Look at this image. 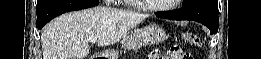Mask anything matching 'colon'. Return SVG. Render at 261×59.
I'll use <instances>...</instances> for the list:
<instances>
[{
	"mask_svg": "<svg viewBox=\"0 0 261 59\" xmlns=\"http://www.w3.org/2000/svg\"><path fill=\"white\" fill-rule=\"evenodd\" d=\"M184 40L195 47L201 46V40L200 38L193 34V33H185L184 34ZM151 58L154 59H192L193 57L190 56L187 53H183L181 49L178 46H172L166 50L165 53H161L160 51H157L152 55Z\"/></svg>",
	"mask_w": 261,
	"mask_h": 59,
	"instance_id": "5ec220e1",
	"label": "colon"
}]
</instances>
